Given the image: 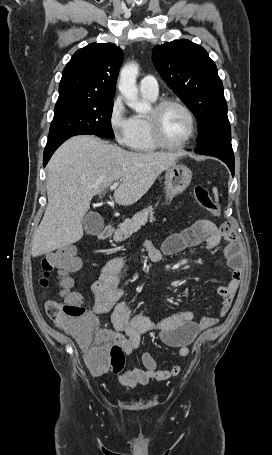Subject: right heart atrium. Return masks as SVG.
I'll use <instances>...</instances> for the list:
<instances>
[{
    "instance_id": "d8ad5b80",
    "label": "right heart atrium",
    "mask_w": 272,
    "mask_h": 455,
    "mask_svg": "<svg viewBox=\"0 0 272 455\" xmlns=\"http://www.w3.org/2000/svg\"><path fill=\"white\" fill-rule=\"evenodd\" d=\"M108 124L115 141L122 146H129L132 133V117L127 115L126 107L121 97L113 99L109 114Z\"/></svg>"
}]
</instances>
